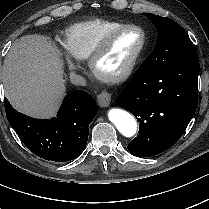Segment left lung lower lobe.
Returning <instances> with one entry per match:
<instances>
[{"mask_svg":"<svg viewBox=\"0 0 209 209\" xmlns=\"http://www.w3.org/2000/svg\"><path fill=\"white\" fill-rule=\"evenodd\" d=\"M198 56L164 70L139 68L117 98L131 112L139 132L128 145L137 157H150L172 147L183 135L198 103Z\"/></svg>","mask_w":209,"mask_h":209,"instance_id":"obj_1","label":"left lung lower lobe"}]
</instances>
